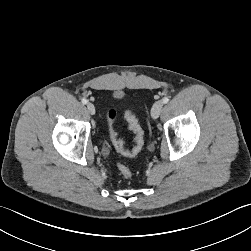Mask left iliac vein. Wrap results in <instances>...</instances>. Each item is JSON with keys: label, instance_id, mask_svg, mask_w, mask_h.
Segmentation results:
<instances>
[{"label": "left iliac vein", "instance_id": "left-iliac-vein-1", "mask_svg": "<svg viewBox=\"0 0 251 251\" xmlns=\"http://www.w3.org/2000/svg\"><path fill=\"white\" fill-rule=\"evenodd\" d=\"M163 109V102L162 101H157L154 103L151 109V116L153 119H157Z\"/></svg>", "mask_w": 251, "mask_h": 251}]
</instances>
